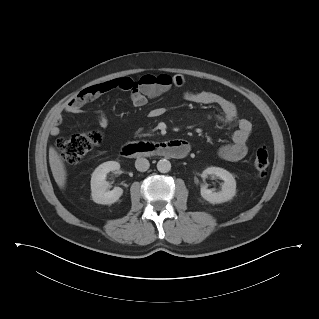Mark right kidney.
<instances>
[{
  "label": "right kidney",
  "instance_id": "obj_1",
  "mask_svg": "<svg viewBox=\"0 0 319 319\" xmlns=\"http://www.w3.org/2000/svg\"><path fill=\"white\" fill-rule=\"evenodd\" d=\"M120 164L116 161H107L99 165L91 177V196L95 203L98 204H113L123 194V189L115 187L109 191V183L106 181V176L110 171L119 170Z\"/></svg>",
  "mask_w": 319,
  "mask_h": 319
}]
</instances>
